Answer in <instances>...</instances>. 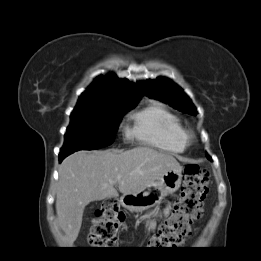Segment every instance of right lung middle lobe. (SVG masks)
<instances>
[{
  "mask_svg": "<svg viewBox=\"0 0 261 261\" xmlns=\"http://www.w3.org/2000/svg\"><path fill=\"white\" fill-rule=\"evenodd\" d=\"M138 100L89 98L79 100L71 114L60 153L98 149L112 144L121 117Z\"/></svg>",
  "mask_w": 261,
  "mask_h": 261,
  "instance_id": "1",
  "label": "right lung middle lobe"
}]
</instances>
